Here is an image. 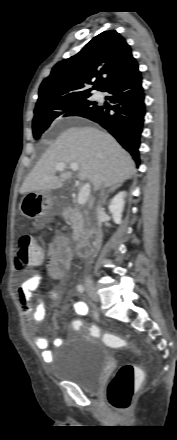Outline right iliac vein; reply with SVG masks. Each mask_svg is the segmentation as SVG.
Listing matches in <instances>:
<instances>
[{
  "label": "right iliac vein",
  "instance_id": "63e3f726",
  "mask_svg": "<svg viewBox=\"0 0 177 440\" xmlns=\"http://www.w3.org/2000/svg\"><path fill=\"white\" fill-rule=\"evenodd\" d=\"M85 287H86V290H87L89 296L93 300L98 301L99 300V296H98V293H97V290H96L94 284L92 282H90V281H87L86 284H85Z\"/></svg>",
  "mask_w": 177,
  "mask_h": 440
}]
</instances>
